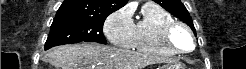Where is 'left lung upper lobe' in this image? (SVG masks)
<instances>
[{
    "label": "left lung upper lobe",
    "mask_w": 246,
    "mask_h": 69,
    "mask_svg": "<svg viewBox=\"0 0 246 69\" xmlns=\"http://www.w3.org/2000/svg\"><path fill=\"white\" fill-rule=\"evenodd\" d=\"M161 5L165 10L172 13L174 16L185 22L196 35V30L193 25V21L189 15V12L180 0H154Z\"/></svg>",
    "instance_id": "left-lung-upper-lobe-1"
}]
</instances>
